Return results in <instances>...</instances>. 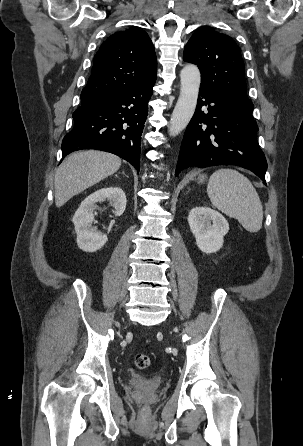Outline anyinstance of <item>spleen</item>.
<instances>
[{
  "instance_id": "obj_1",
  "label": "spleen",
  "mask_w": 303,
  "mask_h": 446,
  "mask_svg": "<svg viewBox=\"0 0 303 446\" xmlns=\"http://www.w3.org/2000/svg\"><path fill=\"white\" fill-rule=\"evenodd\" d=\"M207 194L218 210L236 218L247 231L261 229L262 204L256 189L243 174L230 168L216 170L210 176Z\"/></svg>"
}]
</instances>
